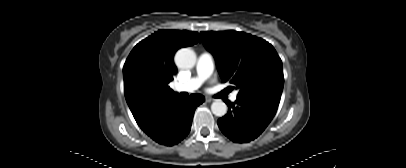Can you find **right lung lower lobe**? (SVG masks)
Here are the masks:
<instances>
[{
  "instance_id": "1",
  "label": "right lung lower lobe",
  "mask_w": 406,
  "mask_h": 168,
  "mask_svg": "<svg viewBox=\"0 0 406 168\" xmlns=\"http://www.w3.org/2000/svg\"><path fill=\"white\" fill-rule=\"evenodd\" d=\"M204 100L200 94L188 98L176 94L136 122L154 141L172 146L189 134L195 109Z\"/></svg>"
}]
</instances>
